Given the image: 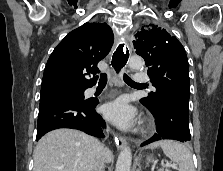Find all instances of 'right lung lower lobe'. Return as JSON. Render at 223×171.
Masks as SVG:
<instances>
[{
	"mask_svg": "<svg viewBox=\"0 0 223 171\" xmlns=\"http://www.w3.org/2000/svg\"><path fill=\"white\" fill-rule=\"evenodd\" d=\"M98 100L80 101L75 99H56L39 106L36 140L45 133L58 128H72L87 134L104 137L103 118L95 111Z\"/></svg>",
	"mask_w": 223,
	"mask_h": 171,
	"instance_id": "1",
	"label": "right lung lower lobe"
}]
</instances>
